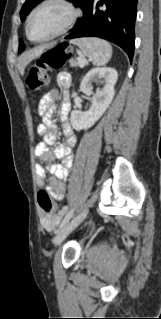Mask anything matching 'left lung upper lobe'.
I'll use <instances>...</instances> for the list:
<instances>
[{
  "instance_id": "5c2ea615",
  "label": "left lung upper lobe",
  "mask_w": 161,
  "mask_h": 319,
  "mask_svg": "<svg viewBox=\"0 0 161 319\" xmlns=\"http://www.w3.org/2000/svg\"><path fill=\"white\" fill-rule=\"evenodd\" d=\"M41 1L43 0H26V2L23 4L22 9L20 11L21 20L24 21L25 17L30 13V11ZM68 1L72 2L75 6H79L83 10V12H85L89 2V0H68ZM23 49H24V44L20 40L19 52L23 51Z\"/></svg>"
}]
</instances>
